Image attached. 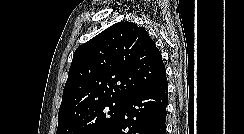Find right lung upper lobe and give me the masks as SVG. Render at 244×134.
I'll return each instance as SVG.
<instances>
[{
  "mask_svg": "<svg viewBox=\"0 0 244 134\" xmlns=\"http://www.w3.org/2000/svg\"><path fill=\"white\" fill-rule=\"evenodd\" d=\"M166 76L148 32L133 22L116 23L73 54L58 120L111 99L126 100Z\"/></svg>",
  "mask_w": 244,
  "mask_h": 134,
  "instance_id": "right-lung-upper-lobe-1",
  "label": "right lung upper lobe"
}]
</instances>
